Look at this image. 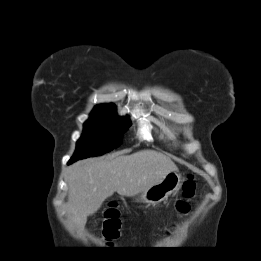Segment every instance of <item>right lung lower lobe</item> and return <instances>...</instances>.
<instances>
[{"label": "right lung lower lobe", "mask_w": 261, "mask_h": 261, "mask_svg": "<svg viewBox=\"0 0 261 261\" xmlns=\"http://www.w3.org/2000/svg\"><path fill=\"white\" fill-rule=\"evenodd\" d=\"M75 160H73V159H71L69 162H68V164H71L72 162H74Z\"/></svg>", "instance_id": "obj_1"}]
</instances>
